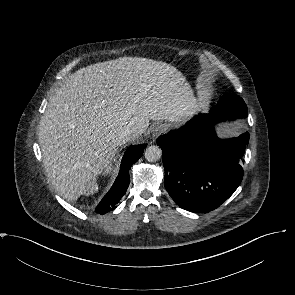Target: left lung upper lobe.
Returning a JSON list of instances; mask_svg holds the SVG:
<instances>
[{
  "label": "left lung upper lobe",
  "instance_id": "1",
  "mask_svg": "<svg viewBox=\"0 0 295 295\" xmlns=\"http://www.w3.org/2000/svg\"><path fill=\"white\" fill-rule=\"evenodd\" d=\"M215 107L218 108L219 111L227 114H237L241 117L248 116L245 102L241 97L235 94L224 95Z\"/></svg>",
  "mask_w": 295,
  "mask_h": 295
}]
</instances>
